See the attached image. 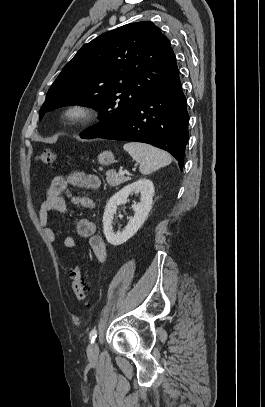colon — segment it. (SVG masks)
<instances>
[{
    "label": "colon",
    "mask_w": 265,
    "mask_h": 407,
    "mask_svg": "<svg viewBox=\"0 0 265 407\" xmlns=\"http://www.w3.org/2000/svg\"><path fill=\"white\" fill-rule=\"evenodd\" d=\"M38 161L46 164L51 165L57 159V153L50 149H45L38 155ZM71 279H72V288L75 295L76 300L84 304L85 306L89 305V289L86 278L82 274L81 266L79 263H76L74 268L71 271Z\"/></svg>",
    "instance_id": "colon-1"
}]
</instances>
